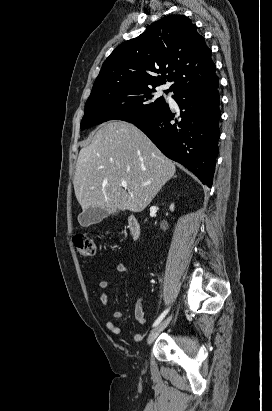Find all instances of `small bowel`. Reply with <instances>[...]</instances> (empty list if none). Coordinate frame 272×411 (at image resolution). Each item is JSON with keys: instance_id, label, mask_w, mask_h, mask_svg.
Wrapping results in <instances>:
<instances>
[{"instance_id": "1", "label": "small bowel", "mask_w": 272, "mask_h": 411, "mask_svg": "<svg viewBox=\"0 0 272 411\" xmlns=\"http://www.w3.org/2000/svg\"><path fill=\"white\" fill-rule=\"evenodd\" d=\"M116 271L118 273H125V272L132 271V269H130L129 267H127L124 264H119L116 267ZM109 284H110V282L108 280H102V281H100L99 286H100L101 289L105 290L109 287ZM100 301H101V303L104 307L108 306V302H109L108 301V296L105 292L101 293ZM134 315H135V318H136L137 322L140 325H145L146 324V318H145V315H144L143 306H142V303L139 302V301L136 302L135 305H134ZM112 316L116 320H123L125 318L124 313L121 312V311H114ZM106 328L111 333H113L115 335H120L121 334V328L114 321H107L106 322ZM142 339H143V335L139 332H137L133 335V340L135 342H140V341H142Z\"/></svg>"}]
</instances>
